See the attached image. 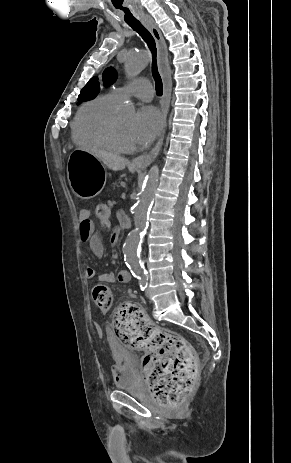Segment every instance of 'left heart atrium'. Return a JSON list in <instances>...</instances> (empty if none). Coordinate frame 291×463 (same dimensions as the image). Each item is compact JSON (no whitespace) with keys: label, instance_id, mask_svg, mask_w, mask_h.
I'll use <instances>...</instances> for the list:
<instances>
[{"label":"left heart atrium","instance_id":"1","mask_svg":"<svg viewBox=\"0 0 291 463\" xmlns=\"http://www.w3.org/2000/svg\"><path fill=\"white\" fill-rule=\"evenodd\" d=\"M162 116L153 106H144L137 112L130 134L137 146L151 142L162 129Z\"/></svg>","mask_w":291,"mask_h":463}]
</instances>
